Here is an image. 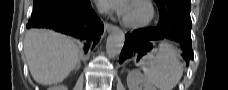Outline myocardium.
I'll return each instance as SVG.
<instances>
[{"label": "myocardium", "mask_w": 228, "mask_h": 90, "mask_svg": "<svg viewBox=\"0 0 228 90\" xmlns=\"http://www.w3.org/2000/svg\"><path fill=\"white\" fill-rule=\"evenodd\" d=\"M133 3L144 4L148 9V15L145 19H143L142 21H139V22H132L128 18L123 16V18H122L123 24L129 28H143V27H146L149 24H151L155 18V9H154L152 2L149 0H131V1H129V5L133 4Z\"/></svg>", "instance_id": "f54148a6"}]
</instances>
